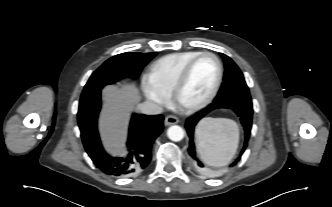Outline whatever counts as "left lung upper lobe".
I'll use <instances>...</instances> for the list:
<instances>
[{"mask_svg":"<svg viewBox=\"0 0 332 207\" xmlns=\"http://www.w3.org/2000/svg\"><path fill=\"white\" fill-rule=\"evenodd\" d=\"M220 55L224 60L225 73L224 82L215 100L233 97L251 99L249 88L238 66L225 54Z\"/></svg>","mask_w":332,"mask_h":207,"instance_id":"5c2ea615","label":"left lung upper lobe"}]
</instances>
